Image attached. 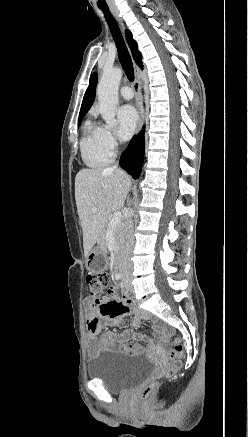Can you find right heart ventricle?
<instances>
[{"label":"right heart ventricle","mask_w":248,"mask_h":437,"mask_svg":"<svg viewBox=\"0 0 248 437\" xmlns=\"http://www.w3.org/2000/svg\"><path fill=\"white\" fill-rule=\"evenodd\" d=\"M80 151L84 163L91 168L104 167L111 161L112 156L104 149L101 141L100 126L91 120L83 125Z\"/></svg>","instance_id":"e07e8e85"}]
</instances>
